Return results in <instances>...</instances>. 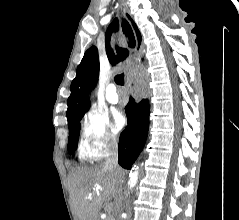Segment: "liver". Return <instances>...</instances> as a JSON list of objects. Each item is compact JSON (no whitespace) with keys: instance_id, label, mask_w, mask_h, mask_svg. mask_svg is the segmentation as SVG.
I'll return each mask as SVG.
<instances>
[{"instance_id":"liver-1","label":"liver","mask_w":239,"mask_h":220,"mask_svg":"<svg viewBox=\"0 0 239 220\" xmlns=\"http://www.w3.org/2000/svg\"><path fill=\"white\" fill-rule=\"evenodd\" d=\"M124 171L105 164L79 168L71 173L69 188L74 211L79 220H99L104 201L114 199L120 204Z\"/></svg>"}]
</instances>
